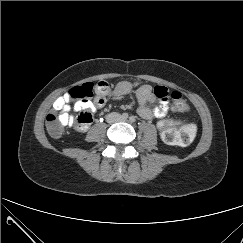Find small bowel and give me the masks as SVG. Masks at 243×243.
<instances>
[{
  "label": "small bowel",
  "instance_id": "small-bowel-1",
  "mask_svg": "<svg viewBox=\"0 0 243 243\" xmlns=\"http://www.w3.org/2000/svg\"><path fill=\"white\" fill-rule=\"evenodd\" d=\"M131 87V84L128 82H120L113 90V93L120 96L129 92ZM136 95L139 104L137 112L142 118L150 120L152 118L161 119L166 116L169 110L168 100H161L160 105L156 107H148V103H153L157 99L150 85L141 84L138 86ZM106 96L107 94L97 95L93 101H77L74 104H71L70 97L66 93L54 101L53 109L60 112L59 118L64 126H71L74 122V112L90 111L93 113L105 105ZM88 126L81 129V131L86 130Z\"/></svg>",
  "mask_w": 243,
  "mask_h": 243
}]
</instances>
